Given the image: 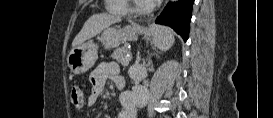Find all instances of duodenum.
Masks as SVG:
<instances>
[{
  "instance_id": "410a0bca",
  "label": "duodenum",
  "mask_w": 273,
  "mask_h": 118,
  "mask_svg": "<svg viewBox=\"0 0 273 118\" xmlns=\"http://www.w3.org/2000/svg\"><path fill=\"white\" fill-rule=\"evenodd\" d=\"M116 85H117L118 88H122L124 83H123V81H117Z\"/></svg>"
}]
</instances>
